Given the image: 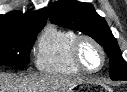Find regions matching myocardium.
<instances>
[{
	"instance_id": "obj_1",
	"label": "myocardium",
	"mask_w": 127,
	"mask_h": 92,
	"mask_svg": "<svg viewBox=\"0 0 127 92\" xmlns=\"http://www.w3.org/2000/svg\"><path fill=\"white\" fill-rule=\"evenodd\" d=\"M84 42H90L91 44H93L101 54L102 63L100 65V67L96 70L87 69L84 66V64L82 63L81 56H80V49H81V46ZM71 57H72V61H73L74 65L81 72L89 73V74H93V73H97V72L101 71L104 68L106 61H107V55H106V52H105L103 46L95 38H93L89 35H78L76 37V39L74 40L73 45H72Z\"/></svg>"
}]
</instances>
